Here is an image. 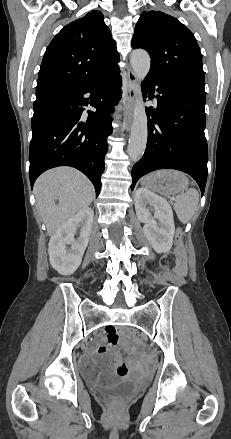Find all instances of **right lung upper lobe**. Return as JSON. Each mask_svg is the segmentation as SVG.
<instances>
[{
    "label": "right lung upper lobe",
    "instance_id": "cb5924a9",
    "mask_svg": "<svg viewBox=\"0 0 231 439\" xmlns=\"http://www.w3.org/2000/svg\"><path fill=\"white\" fill-rule=\"evenodd\" d=\"M119 53L100 11L66 25L48 45L40 67L36 95L81 87L118 67Z\"/></svg>",
    "mask_w": 231,
    "mask_h": 439
}]
</instances>
